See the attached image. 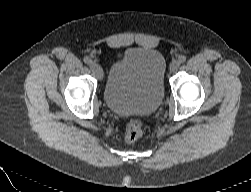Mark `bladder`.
<instances>
[{"instance_id":"1","label":"bladder","mask_w":251,"mask_h":192,"mask_svg":"<svg viewBox=\"0 0 251 192\" xmlns=\"http://www.w3.org/2000/svg\"><path fill=\"white\" fill-rule=\"evenodd\" d=\"M166 61L161 52L147 47L128 48L108 72L103 98L113 113L148 115L164 97Z\"/></svg>"}]
</instances>
